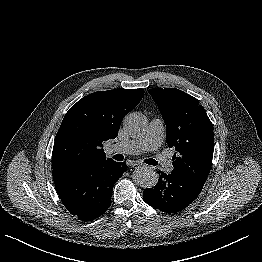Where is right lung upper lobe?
I'll use <instances>...</instances> for the list:
<instances>
[{"instance_id":"obj_1","label":"right lung upper lobe","mask_w":262,"mask_h":262,"mask_svg":"<svg viewBox=\"0 0 262 262\" xmlns=\"http://www.w3.org/2000/svg\"><path fill=\"white\" fill-rule=\"evenodd\" d=\"M143 96V89L98 91L74 104L55 137L53 172H69L113 162L106 159L103 142L118 135L122 119Z\"/></svg>"}]
</instances>
